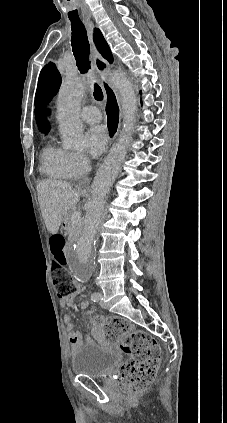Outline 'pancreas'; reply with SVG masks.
Returning <instances> with one entry per match:
<instances>
[{"label":"pancreas","instance_id":"obj_1","mask_svg":"<svg viewBox=\"0 0 227 423\" xmlns=\"http://www.w3.org/2000/svg\"><path fill=\"white\" fill-rule=\"evenodd\" d=\"M73 211L74 210L68 211L66 215L67 225L65 229L69 235V239H73V241H77L79 237V233H81L82 225H80L79 221H73V219H71V215Z\"/></svg>","mask_w":227,"mask_h":423}]
</instances>
